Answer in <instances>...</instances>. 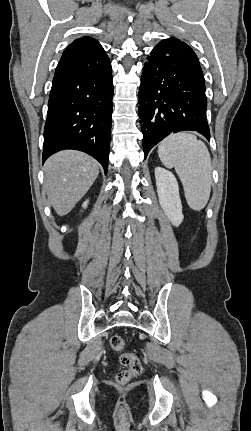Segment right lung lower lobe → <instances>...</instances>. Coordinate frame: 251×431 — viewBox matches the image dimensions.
Segmentation results:
<instances>
[{"instance_id": "98d812e1", "label": "right lung lower lobe", "mask_w": 251, "mask_h": 431, "mask_svg": "<svg viewBox=\"0 0 251 431\" xmlns=\"http://www.w3.org/2000/svg\"><path fill=\"white\" fill-rule=\"evenodd\" d=\"M112 68L102 46L65 50L48 101L43 162L64 149L83 151L108 169Z\"/></svg>"}]
</instances>
